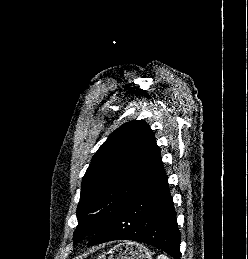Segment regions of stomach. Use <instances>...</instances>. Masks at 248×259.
I'll return each mask as SVG.
<instances>
[{"label":"stomach","instance_id":"1","mask_svg":"<svg viewBox=\"0 0 248 259\" xmlns=\"http://www.w3.org/2000/svg\"><path fill=\"white\" fill-rule=\"evenodd\" d=\"M97 259H152V253L142 244L126 241L114 246Z\"/></svg>","mask_w":248,"mask_h":259}]
</instances>
